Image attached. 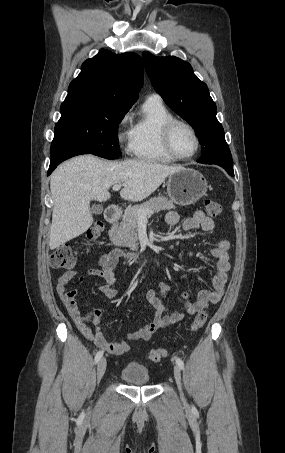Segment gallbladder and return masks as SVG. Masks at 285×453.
Listing matches in <instances>:
<instances>
[{
	"mask_svg": "<svg viewBox=\"0 0 285 453\" xmlns=\"http://www.w3.org/2000/svg\"><path fill=\"white\" fill-rule=\"evenodd\" d=\"M91 211L93 214H101L103 212V207L100 205H93Z\"/></svg>",
	"mask_w": 285,
	"mask_h": 453,
	"instance_id": "gallbladder-1",
	"label": "gallbladder"
}]
</instances>
